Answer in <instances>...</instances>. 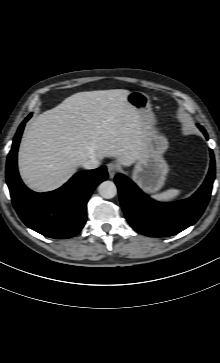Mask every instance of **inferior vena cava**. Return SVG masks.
Returning <instances> with one entry per match:
<instances>
[{"instance_id": "obj_1", "label": "inferior vena cava", "mask_w": 220, "mask_h": 363, "mask_svg": "<svg viewBox=\"0 0 220 363\" xmlns=\"http://www.w3.org/2000/svg\"><path fill=\"white\" fill-rule=\"evenodd\" d=\"M99 165H100L99 160L94 159V158L89 159V160L85 161L84 163H82V166L85 169H88V170H90V169H96V168L99 167Z\"/></svg>"}]
</instances>
